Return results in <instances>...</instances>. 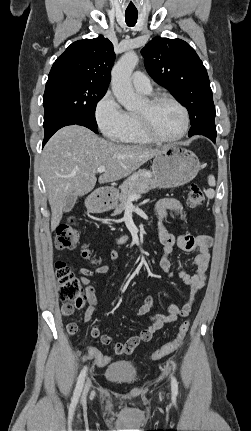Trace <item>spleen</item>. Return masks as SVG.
<instances>
[{
	"instance_id": "obj_1",
	"label": "spleen",
	"mask_w": 251,
	"mask_h": 431,
	"mask_svg": "<svg viewBox=\"0 0 251 431\" xmlns=\"http://www.w3.org/2000/svg\"><path fill=\"white\" fill-rule=\"evenodd\" d=\"M208 184L213 187L216 185L215 177L213 175L208 176ZM206 196L208 198H213L215 196V191L213 189H209L206 191Z\"/></svg>"
}]
</instances>
